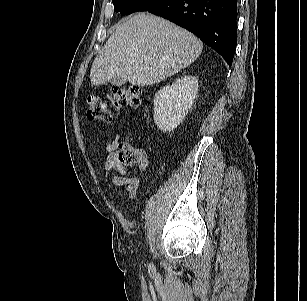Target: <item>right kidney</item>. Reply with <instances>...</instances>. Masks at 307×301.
Masks as SVG:
<instances>
[{
  "instance_id": "right-kidney-1",
  "label": "right kidney",
  "mask_w": 307,
  "mask_h": 301,
  "mask_svg": "<svg viewBox=\"0 0 307 301\" xmlns=\"http://www.w3.org/2000/svg\"><path fill=\"white\" fill-rule=\"evenodd\" d=\"M198 90L195 76H184L161 88L154 97V121L163 132L173 131L191 108Z\"/></svg>"
}]
</instances>
